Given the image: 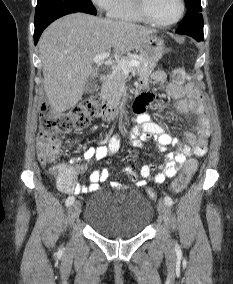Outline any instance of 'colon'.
<instances>
[{"label": "colon", "mask_w": 233, "mask_h": 284, "mask_svg": "<svg viewBox=\"0 0 233 284\" xmlns=\"http://www.w3.org/2000/svg\"><path fill=\"white\" fill-rule=\"evenodd\" d=\"M171 79L175 84H182L185 73L182 69L176 68L171 72ZM100 101L96 96H90L82 100L77 106L63 114H55L50 104L42 106L40 112V130L37 140V156L40 162L49 166L55 161L59 152V135L74 128H84L89 125L96 114ZM121 170L125 166L117 164ZM198 169L196 159H188L181 173L172 181L171 189L175 193L182 192L190 183L191 178ZM76 180L72 176L65 177L61 182V190L70 192L75 187ZM147 196L150 200H155L157 195L153 189H148Z\"/></svg>", "instance_id": "obj_1"}]
</instances>
